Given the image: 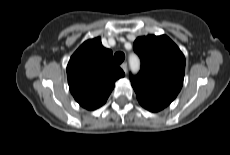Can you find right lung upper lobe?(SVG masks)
Masks as SVG:
<instances>
[{"instance_id":"1","label":"right lung upper lobe","mask_w":230,"mask_h":155,"mask_svg":"<svg viewBox=\"0 0 230 155\" xmlns=\"http://www.w3.org/2000/svg\"><path fill=\"white\" fill-rule=\"evenodd\" d=\"M125 74L112 59V51L102 46L100 37L85 41L71 56L67 65L70 91L85 109L101 107Z\"/></svg>"}]
</instances>
